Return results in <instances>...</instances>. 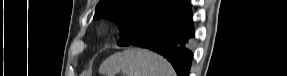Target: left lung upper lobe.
<instances>
[{
  "instance_id": "1",
  "label": "left lung upper lobe",
  "mask_w": 287,
  "mask_h": 76,
  "mask_svg": "<svg viewBox=\"0 0 287 76\" xmlns=\"http://www.w3.org/2000/svg\"><path fill=\"white\" fill-rule=\"evenodd\" d=\"M187 0H100L94 18L114 20L120 29L119 46L141 37L164 17L180 10Z\"/></svg>"
}]
</instances>
